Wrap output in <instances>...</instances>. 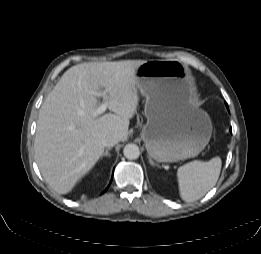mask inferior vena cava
Returning <instances> with one entry per match:
<instances>
[{"mask_svg":"<svg viewBox=\"0 0 261 254\" xmlns=\"http://www.w3.org/2000/svg\"><path fill=\"white\" fill-rule=\"evenodd\" d=\"M118 142L119 136L117 134L108 135L103 139V144L105 147H112Z\"/></svg>","mask_w":261,"mask_h":254,"instance_id":"obj_1","label":"inferior vena cava"}]
</instances>
